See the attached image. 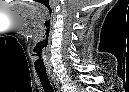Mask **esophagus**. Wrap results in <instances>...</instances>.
Segmentation results:
<instances>
[{
    "label": "esophagus",
    "instance_id": "obj_1",
    "mask_svg": "<svg viewBox=\"0 0 129 92\" xmlns=\"http://www.w3.org/2000/svg\"><path fill=\"white\" fill-rule=\"evenodd\" d=\"M52 79H53V82H54V84H55V86L57 88V91L60 92L59 82L54 77H52Z\"/></svg>",
    "mask_w": 129,
    "mask_h": 92
}]
</instances>
